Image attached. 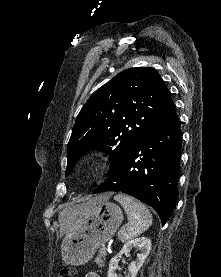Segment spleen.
Returning a JSON list of instances; mask_svg holds the SVG:
<instances>
[{"label":"spleen","mask_w":221,"mask_h":277,"mask_svg":"<svg viewBox=\"0 0 221 277\" xmlns=\"http://www.w3.org/2000/svg\"><path fill=\"white\" fill-rule=\"evenodd\" d=\"M114 200L122 205L128 215V223L118 233L122 242L137 237L151 226L152 215L143 203L121 193L115 195Z\"/></svg>","instance_id":"1"}]
</instances>
